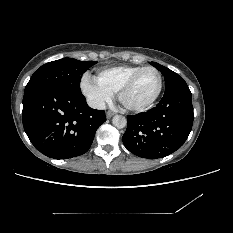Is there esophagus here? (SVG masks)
Returning <instances> with one entry per match:
<instances>
[{
  "instance_id": "obj_1",
  "label": "esophagus",
  "mask_w": 233,
  "mask_h": 233,
  "mask_svg": "<svg viewBox=\"0 0 233 233\" xmlns=\"http://www.w3.org/2000/svg\"><path fill=\"white\" fill-rule=\"evenodd\" d=\"M114 115H115V113L112 112V111H107V112H106V117H107L108 119H110V118L113 117Z\"/></svg>"
}]
</instances>
